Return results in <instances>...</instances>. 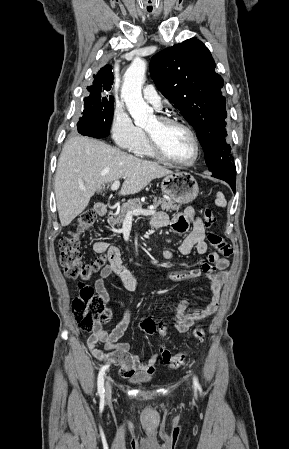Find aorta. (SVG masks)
I'll use <instances>...</instances> for the list:
<instances>
[{
  "label": "aorta",
  "instance_id": "aorta-1",
  "mask_svg": "<svg viewBox=\"0 0 289 449\" xmlns=\"http://www.w3.org/2000/svg\"><path fill=\"white\" fill-rule=\"evenodd\" d=\"M146 61L136 58L124 75L121 97L137 126H144L153 120V109L143 100L141 88L144 83Z\"/></svg>",
  "mask_w": 289,
  "mask_h": 449
}]
</instances>
